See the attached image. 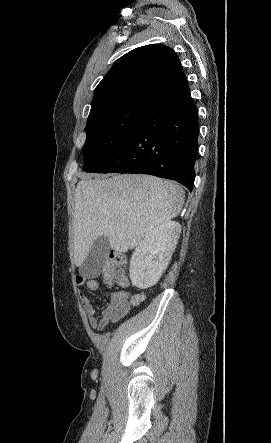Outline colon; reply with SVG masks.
Instances as JSON below:
<instances>
[{
    "instance_id": "colon-1",
    "label": "colon",
    "mask_w": 271,
    "mask_h": 443,
    "mask_svg": "<svg viewBox=\"0 0 271 443\" xmlns=\"http://www.w3.org/2000/svg\"><path fill=\"white\" fill-rule=\"evenodd\" d=\"M125 258L120 253H111L105 262L102 274L108 284L125 286L128 280L124 271Z\"/></svg>"
}]
</instances>
